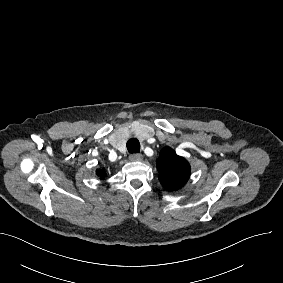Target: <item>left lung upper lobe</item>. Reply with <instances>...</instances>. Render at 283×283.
<instances>
[{"instance_id":"left-lung-upper-lobe-1","label":"left lung upper lobe","mask_w":283,"mask_h":283,"mask_svg":"<svg viewBox=\"0 0 283 283\" xmlns=\"http://www.w3.org/2000/svg\"><path fill=\"white\" fill-rule=\"evenodd\" d=\"M156 162L159 181L166 190L176 191L189 180L190 164L185 158L177 155L172 148H163Z\"/></svg>"}]
</instances>
